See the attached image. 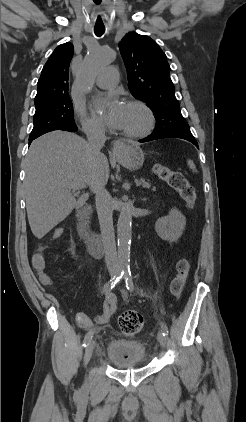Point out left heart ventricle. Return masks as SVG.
<instances>
[{"label": "left heart ventricle", "instance_id": "1", "mask_svg": "<svg viewBox=\"0 0 246 422\" xmlns=\"http://www.w3.org/2000/svg\"><path fill=\"white\" fill-rule=\"evenodd\" d=\"M146 122L143 111L135 106L125 105L122 130L136 131L141 129Z\"/></svg>", "mask_w": 246, "mask_h": 422}]
</instances>
